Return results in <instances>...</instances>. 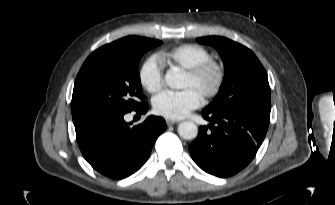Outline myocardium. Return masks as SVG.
<instances>
[{"instance_id": "obj_1", "label": "myocardium", "mask_w": 335, "mask_h": 205, "mask_svg": "<svg viewBox=\"0 0 335 205\" xmlns=\"http://www.w3.org/2000/svg\"><path fill=\"white\" fill-rule=\"evenodd\" d=\"M210 73L214 75V81L209 87H205L201 91V94L206 98L215 97L221 91L226 78L224 65L210 58L186 70V74L196 81H201Z\"/></svg>"}]
</instances>
